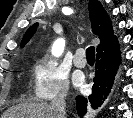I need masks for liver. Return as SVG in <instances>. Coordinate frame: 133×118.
Wrapping results in <instances>:
<instances>
[{"label":"liver","instance_id":"6515ba94","mask_svg":"<svg viewBox=\"0 0 133 118\" xmlns=\"http://www.w3.org/2000/svg\"><path fill=\"white\" fill-rule=\"evenodd\" d=\"M2 118H55L51 105L46 103L20 104L8 109Z\"/></svg>","mask_w":133,"mask_h":118}]
</instances>
